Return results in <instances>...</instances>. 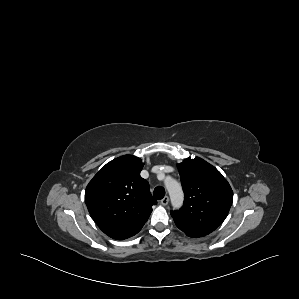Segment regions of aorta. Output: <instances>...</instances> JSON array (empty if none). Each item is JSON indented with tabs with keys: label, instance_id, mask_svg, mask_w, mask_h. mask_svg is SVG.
Masks as SVG:
<instances>
[{
	"label": "aorta",
	"instance_id": "1",
	"mask_svg": "<svg viewBox=\"0 0 299 299\" xmlns=\"http://www.w3.org/2000/svg\"><path fill=\"white\" fill-rule=\"evenodd\" d=\"M165 186L169 193L173 208H180L184 200V193L181 184L174 179H170L166 181Z\"/></svg>",
	"mask_w": 299,
	"mask_h": 299
}]
</instances>
